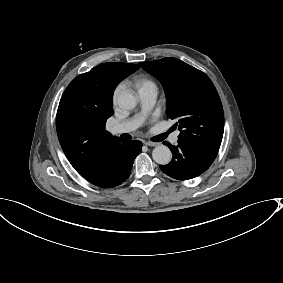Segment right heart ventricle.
<instances>
[{
	"mask_svg": "<svg viewBox=\"0 0 283 283\" xmlns=\"http://www.w3.org/2000/svg\"><path fill=\"white\" fill-rule=\"evenodd\" d=\"M129 81L134 84L138 90L151 86L156 87L155 83L143 74H135L130 78Z\"/></svg>",
	"mask_w": 283,
	"mask_h": 283,
	"instance_id": "1",
	"label": "right heart ventricle"
}]
</instances>
